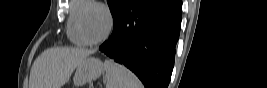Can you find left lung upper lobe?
Instances as JSON below:
<instances>
[{
	"instance_id": "left-lung-upper-lobe-1",
	"label": "left lung upper lobe",
	"mask_w": 267,
	"mask_h": 88,
	"mask_svg": "<svg viewBox=\"0 0 267 88\" xmlns=\"http://www.w3.org/2000/svg\"><path fill=\"white\" fill-rule=\"evenodd\" d=\"M129 0H107L110 11L113 16V21L119 16Z\"/></svg>"
}]
</instances>
